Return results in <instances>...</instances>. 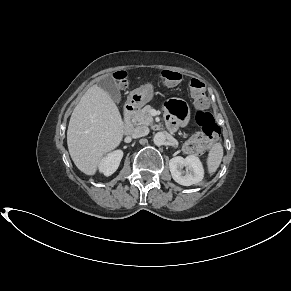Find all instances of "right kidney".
Masks as SVG:
<instances>
[{"instance_id": "1", "label": "right kidney", "mask_w": 291, "mask_h": 291, "mask_svg": "<svg viewBox=\"0 0 291 291\" xmlns=\"http://www.w3.org/2000/svg\"><path fill=\"white\" fill-rule=\"evenodd\" d=\"M122 157L123 152L121 150H116L109 153L99 164L100 172H102L105 176L112 175L118 169Z\"/></svg>"}]
</instances>
